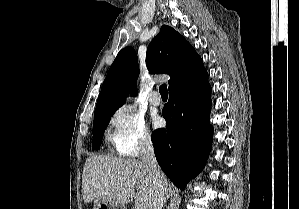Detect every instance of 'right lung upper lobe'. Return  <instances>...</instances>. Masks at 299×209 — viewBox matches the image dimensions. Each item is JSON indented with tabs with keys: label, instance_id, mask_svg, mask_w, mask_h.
I'll use <instances>...</instances> for the list:
<instances>
[{
	"label": "right lung upper lobe",
	"instance_id": "1",
	"mask_svg": "<svg viewBox=\"0 0 299 209\" xmlns=\"http://www.w3.org/2000/svg\"><path fill=\"white\" fill-rule=\"evenodd\" d=\"M150 73L170 76L169 90L181 87L206 73L202 59L190 43L173 28L163 25L150 42L146 53ZM139 75L138 58L132 47L122 49L103 82L94 115L116 111L126 101V94L136 96Z\"/></svg>",
	"mask_w": 299,
	"mask_h": 209
}]
</instances>
